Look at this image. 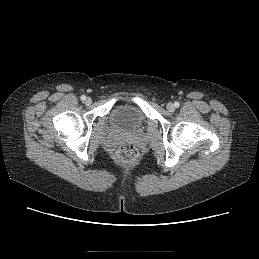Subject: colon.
<instances>
[{
    "mask_svg": "<svg viewBox=\"0 0 259 259\" xmlns=\"http://www.w3.org/2000/svg\"><path fill=\"white\" fill-rule=\"evenodd\" d=\"M139 155L138 148L130 142H122L116 152V160L123 165H130L134 163Z\"/></svg>",
    "mask_w": 259,
    "mask_h": 259,
    "instance_id": "5ec220e1",
    "label": "colon"
}]
</instances>
